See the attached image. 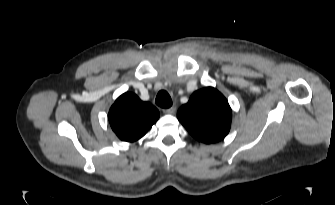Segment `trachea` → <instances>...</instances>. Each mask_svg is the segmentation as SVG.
<instances>
[{"instance_id":"1","label":"trachea","mask_w":335,"mask_h":205,"mask_svg":"<svg viewBox=\"0 0 335 205\" xmlns=\"http://www.w3.org/2000/svg\"><path fill=\"white\" fill-rule=\"evenodd\" d=\"M156 104L162 108H170L172 106V100L167 91L161 90L156 97Z\"/></svg>"}]
</instances>
